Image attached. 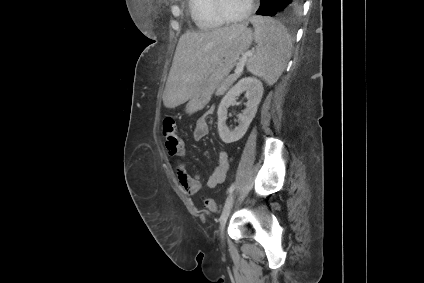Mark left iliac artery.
<instances>
[{"label": "left iliac artery", "mask_w": 424, "mask_h": 283, "mask_svg": "<svg viewBox=\"0 0 424 283\" xmlns=\"http://www.w3.org/2000/svg\"><path fill=\"white\" fill-rule=\"evenodd\" d=\"M233 190H234V184L230 186V188L228 189V193L231 194Z\"/></svg>", "instance_id": "obj_1"}]
</instances>
